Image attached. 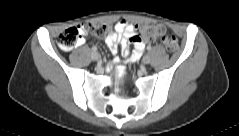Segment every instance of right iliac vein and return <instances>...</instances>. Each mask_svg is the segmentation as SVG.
Returning a JSON list of instances; mask_svg holds the SVG:
<instances>
[{"instance_id":"1","label":"right iliac vein","mask_w":239,"mask_h":136,"mask_svg":"<svg viewBox=\"0 0 239 136\" xmlns=\"http://www.w3.org/2000/svg\"><path fill=\"white\" fill-rule=\"evenodd\" d=\"M93 60H98L99 59V54L97 52H93L91 55Z\"/></svg>"}]
</instances>
